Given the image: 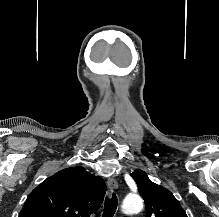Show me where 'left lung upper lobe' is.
I'll return each mask as SVG.
<instances>
[{
	"label": "left lung upper lobe",
	"instance_id": "5c2ea615",
	"mask_svg": "<svg viewBox=\"0 0 219 217\" xmlns=\"http://www.w3.org/2000/svg\"><path fill=\"white\" fill-rule=\"evenodd\" d=\"M130 175L145 201L146 217H187L173 194L166 188L153 183L144 171L137 169Z\"/></svg>",
	"mask_w": 219,
	"mask_h": 217
}]
</instances>
